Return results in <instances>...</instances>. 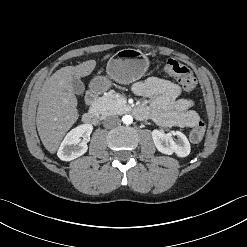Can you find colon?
Instances as JSON below:
<instances>
[{
  "label": "colon",
  "mask_w": 247,
  "mask_h": 247,
  "mask_svg": "<svg viewBox=\"0 0 247 247\" xmlns=\"http://www.w3.org/2000/svg\"><path fill=\"white\" fill-rule=\"evenodd\" d=\"M163 70L174 76L187 91H192L196 86V79L192 71L184 64L175 59H168ZM205 133V125L202 122L197 123L191 130L189 138L192 143L198 144L202 141Z\"/></svg>",
  "instance_id": "colon-1"
}]
</instances>
